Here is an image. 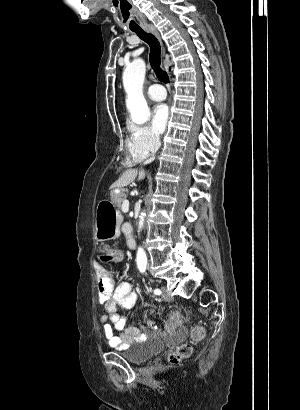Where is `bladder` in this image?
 <instances>
[{
    "mask_svg": "<svg viewBox=\"0 0 300 410\" xmlns=\"http://www.w3.org/2000/svg\"><path fill=\"white\" fill-rule=\"evenodd\" d=\"M163 343H138L122 353L123 357L132 364L140 365L163 350Z\"/></svg>",
    "mask_w": 300,
    "mask_h": 410,
    "instance_id": "obj_1",
    "label": "bladder"
}]
</instances>
